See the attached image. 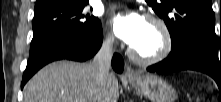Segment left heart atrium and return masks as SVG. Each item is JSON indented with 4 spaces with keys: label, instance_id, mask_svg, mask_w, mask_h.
I'll return each instance as SVG.
<instances>
[{
    "label": "left heart atrium",
    "instance_id": "39dd6f15",
    "mask_svg": "<svg viewBox=\"0 0 221 102\" xmlns=\"http://www.w3.org/2000/svg\"><path fill=\"white\" fill-rule=\"evenodd\" d=\"M145 19L135 11L120 12L113 16L115 34L124 42L133 45L139 39Z\"/></svg>",
    "mask_w": 221,
    "mask_h": 102
}]
</instances>
